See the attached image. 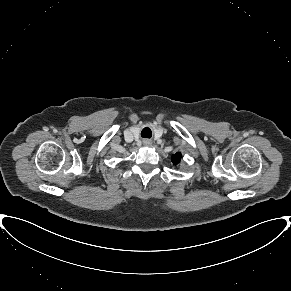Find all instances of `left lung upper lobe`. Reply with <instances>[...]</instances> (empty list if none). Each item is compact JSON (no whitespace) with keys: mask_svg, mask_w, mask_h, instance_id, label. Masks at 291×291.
Returning a JSON list of instances; mask_svg holds the SVG:
<instances>
[{"mask_svg":"<svg viewBox=\"0 0 291 291\" xmlns=\"http://www.w3.org/2000/svg\"><path fill=\"white\" fill-rule=\"evenodd\" d=\"M181 157H182V155H181L180 152H177L176 154H174V155L172 156V162H173V164H174V165L179 164V163H180V160H181Z\"/></svg>","mask_w":291,"mask_h":291,"instance_id":"obj_1","label":"left lung upper lobe"}]
</instances>
